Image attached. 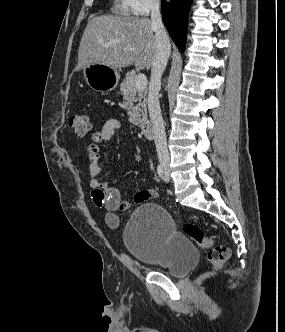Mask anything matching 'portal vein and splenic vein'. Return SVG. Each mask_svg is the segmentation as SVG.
<instances>
[{"label": "portal vein and splenic vein", "instance_id": "1", "mask_svg": "<svg viewBox=\"0 0 285 332\" xmlns=\"http://www.w3.org/2000/svg\"><path fill=\"white\" fill-rule=\"evenodd\" d=\"M147 85V78L144 74L140 73L137 76V81H136V88L137 89H143Z\"/></svg>", "mask_w": 285, "mask_h": 332}]
</instances>
